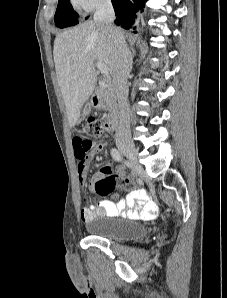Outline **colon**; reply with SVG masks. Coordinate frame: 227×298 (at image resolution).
Here are the masks:
<instances>
[{
    "mask_svg": "<svg viewBox=\"0 0 227 298\" xmlns=\"http://www.w3.org/2000/svg\"><path fill=\"white\" fill-rule=\"evenodd\" d=\"M104 133L105 130L101 121L96 118H90L87 120L82 129V134L84 135L82 142H92L90 138H100L104 135ZM74 139L76 138L74 137ZM98 174H100V176L95 178L94 189L99 195H108L112 193L117 187H121L127 190L137 189V185L134 181L113 174L109 168L102 169Z\"/></svg>",
    "mask_w": 227,
    "mask_h": 298,
    "instance_id": "5ec220e1",
    "label": "colon"
}]
</instances>
